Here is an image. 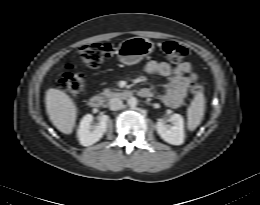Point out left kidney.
<instances>
[{"mask_svg":"<svg viewBox=\"0 0 260 205\" xmlns=\"http://www.w3.org/2000/svg\"><path fill=\"white\" fill-rule=\"evenodd\" d=\"M171 126L166 125L162 121H158L155 125L160 137L169 144L181 145L184 143V119L180 114H173L170 117Z\"/></svg>","mask_w":260,"mask_h":205,"instance_id":"obj_1","label":"left kidney"}]
</instances>
